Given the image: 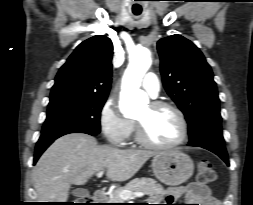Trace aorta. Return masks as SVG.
Segmentation results:
<instances>
[{"label":"aorta","mask_w":253,"mask_h":205,"mask_svg":"<svg viewBox=\"0 0 253 205\" xmlns=\"http://www.w3.org/2000/svg\"><path fill=\"white\" fill-rule=\"evenodd\" d=\"M151 52L146 47H137L130 54L129 65L122 79L120 110L125 117H131L147 106V94L140 90L142 77L151 66Z\"/></svg>","instance_id":"762f6f07"}]
</instances>
